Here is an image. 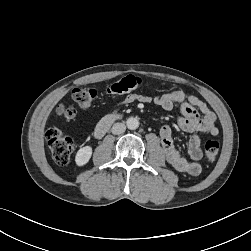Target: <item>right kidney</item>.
Returning a JSON list of instances; mask_svg holds the SVG:
<instances>
[{"label":"right kidney","mask_w":251,"mask_h":251,"mask_svg":"<svg viewBox=\"0 0 251 251\" xmlns=\"http://www.w3.org/2000/svg\"><path fill=\"white\" fill-rule=\"evenodd\" d=\"M92 156V147L84 146L80 148L76 154L75 162L78 166L87 164Z\"/></svg>","instance_id":"right-kidney-1"}]
</instances>
